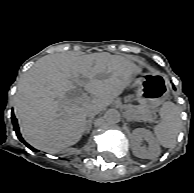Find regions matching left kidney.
<instances>
[{
    "label": "left kidney",
    "mask_w": 194,
    "mask_h": 193,
    "mask_svg": "<svg viewBox=\"0 0 194 193\" xmlns=\"http://www.w3.org/2000/svg\"><path fill=\"white\" fill-rule=\"evenodd\" d=\"M145 140L149 147L142 145ZM132 151L136 157L143 159H154L160 155V146L150 130L137 128L132 132Z\"/></svg>",
    "instance_id": "obj_1"
}]
</instances>
